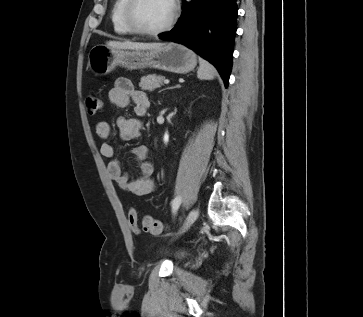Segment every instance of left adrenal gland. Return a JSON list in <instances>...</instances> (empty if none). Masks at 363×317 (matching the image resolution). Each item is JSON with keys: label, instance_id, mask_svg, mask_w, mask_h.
<instances>
[{"label": "left adrenal gland", "instance_id": "left-adrenal-gland-1", "mask_svg": "<svg viewBox=\"0 0 363 317\" xmlns=\"http://www.w3.org/2000/svg\"><path fill=\"white\" fill-rule=\"evenodd\" d=\"M179 85H177V86H175V87H171V88H176V87H178Z\"/></svg>", "mask_w": 363, "mask_h": 317}]
</instances>
